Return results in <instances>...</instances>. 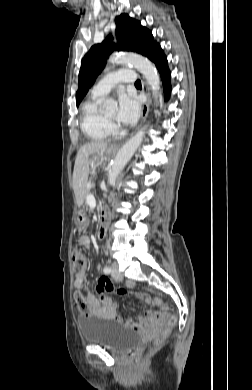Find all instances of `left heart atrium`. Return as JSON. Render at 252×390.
I'll return each instance as SVG.
<instances>
[{
	"label": "left heart atrium",
	"mask_w": 252,
	"mask_h": 390,
	"mask_svg": "<svg viewBox=\"0 0 252 390\" xmlns=\"http://www.w3.org/2000/svg\"><path fill=\"white\" fill-rule=\"evenodd\" d=\"M140 112V105L137 99L125 93L119 94L118 97V109H117V120L124 124H133Z\"/></svg>",
	"instance_id": "left-heart-atrium-1"
}]
</instances>
